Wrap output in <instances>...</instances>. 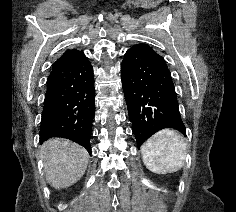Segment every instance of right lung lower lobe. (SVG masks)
<instances>
[{"instance_id":"98d812e1","label":"right lung lower lobe","mask_w":236,"mask_h":212,"mask_svg":"<svg viewBox=\"0 0 236 212\" xmlns=\"http://www.w3.org/2000/svg\"><path fill=\"white\" fill-rule=\"evenodd\" d=\"M94 106L93 68L82 51L68 50L53 63L47 78L40 141L62 137L91 153Z\"/></svg>"}]
</instances>
